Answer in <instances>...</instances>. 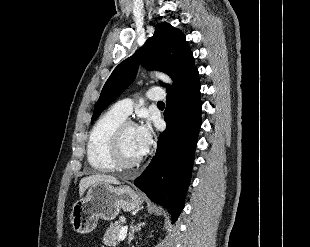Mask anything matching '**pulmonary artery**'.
I'll return each instance as SVG.
<instances>
[{
    "label": "pulmonary artery",
    "mask_w": 310,
    "mask_h": 247,
    "mask_svg": "<svg viewBox=\"0 0 310 247\" xmlns=\"http://www.w3.org/2000/svg\"><path fill=\"white\" fill-rule=\"evenodd\" d=\"M165 97L161 87H153L148 91V98L152 101H161ZM133 99L127 98L118 101L113 107L123 116L127 117L133 107Z\"/></svg>",
    "instance_id": "obj_1"
}]
</instances>
